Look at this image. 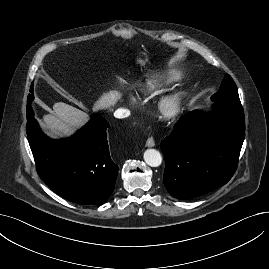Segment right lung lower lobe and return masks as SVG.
Instances as JSON below:
<instances>
[{"label":"right lung lower lobe","instance_id":"98d812e1","mask_svg":"<svg viewBox=\"0 0 269 269\" xmlns=\"http://www.w3.org/2000/svg\"><path fill=\"white\" fill-rule=\"evenodd\" d=\"M107 128L106 120L93 114L89 123L71 138L52 140L40 130L28 105V141L45 184L75 203L94 205L107 201L118 173L109 153Z\"/></svg>","mask_w":269,"mask_h":269}]
</instances>
